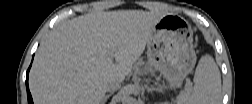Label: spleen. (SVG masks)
<instances>
[{"label": "spleen", "instance_id": "spleen-1", "mask_svg": "<svg viewBox=\"0 0 252 104\" xmlns=\"http://www.w3.org/2000/svg\"><path fill=\"white\" fill-rule=\"evenodd\" d=\"M194 85L181 93L180 104H218L221 100V76L210 55L203 56L196 67Z\"/></svg>", "mask_w": 252, "mask_h": 104}]
</instances>
